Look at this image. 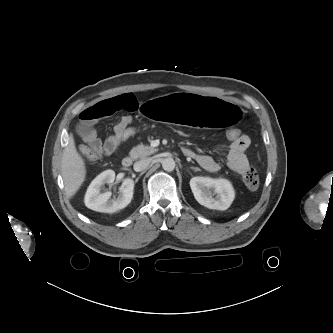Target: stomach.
Masks as SVG:
<instances>
[{"instance_id": "1", "label": "stomach", "mask_w": 333, "mask_h": 333, "mask_svg": "<svg viewBox=\"0 0 333 333\" xmlns=\"http://www.w3.org/2000/svg\"><path fill=\"white\" fill-rule=\"evenodd\" d=\"M143 117L161 125L194 127L212 132L241 126L246 110L213 95L190 96L185 93L150 97L141 106Z\"/></svg>"}]
</instances>
